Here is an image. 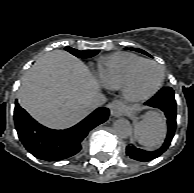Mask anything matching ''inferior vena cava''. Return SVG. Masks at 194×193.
<instances>
[{"label": "inferior vena cava", "instance_id": "obj_1", "mask_svg": "<svg viewBox=\"0 0 194 193\" xmlns=\"http://www.w3.org/2000/svg\"><path fill=\"white\" fill-rule=\"evenodd\" d=\"M106 102V98L102 94H97L95 97H93L88 103L87 106L94 110L100 106H102Z\"/></svg>", "mask_w": 194, "mask_h": 193}]
</instances>
